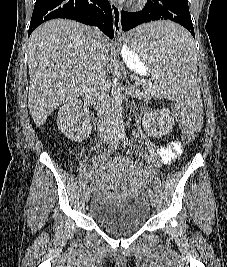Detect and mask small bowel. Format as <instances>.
Returning a JSON list of instances; mask_svg holds the SVG:
<instances>
[{
    "label": "small bowel",
    "mask_w": 227,
    "mask_h": 267,
    "mask_svg": "<svg viewBox=\"0 0 227 267\" xmlns=\"http://www.w3.org/2000/svg\"><path fill=\"white\" fill-rule=\"evenodd\" d=\"M183 151L182 144L177 140H171L166 145L161 146L156 150V157L163 164L173 162ZM93 191L100 197L113 196L118 193V188L115 186H108L96 180L93 184Z\"/></svg>",
    "instance_id": "1"
}]
</instances>
